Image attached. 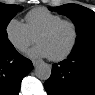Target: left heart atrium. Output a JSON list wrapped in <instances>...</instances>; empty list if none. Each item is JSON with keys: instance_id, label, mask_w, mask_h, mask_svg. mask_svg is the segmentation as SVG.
<instances>
[{"instance_id": "39dd6f15", "label": "left heart atrium", "mask_w": 95, "mask_h": 95, "mask_svg": "<svg viewBox=\"0 0 95 95\" xmlns=\"http://www.w3.org/2000/svg\"><path fill=\"white\" fill-rule=\"evenodd\" d=\"M28 56L33 58L49 57V53L43 45L38 44L28 51Z\"/></svg>"}]
</instances>
